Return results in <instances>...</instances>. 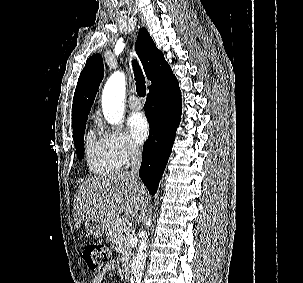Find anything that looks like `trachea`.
Wrapping results in <instances>:
<instances>
[{"label":"trachea","instance_id":"3493384b","mask_svg":"<svg viewBox=\"0 0 303 283\" xmlns=\"http://www.w3.org/2000/svg\"><path fill=\"white\" fill-rule=\"evenodd\" d=\"M132 63H133L132 65H133V71H134V75H135V81H136L137 94L140 97H145V95H146L145 77L142 73V70H141L139 64L137 63V60H133Z\"/></svg>","mask_w":303,"mask_h":283}]
</instances>
